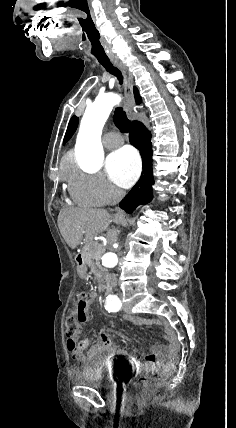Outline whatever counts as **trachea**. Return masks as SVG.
Listing matches in <instances>:
<instances>
[{
  "label": "trachea",
  "instance_id": "trachea-1",
  "mask_svg": "<svg viewBox=\"0 0 236 428\" xmlns=\"http://www.w3.org/2000/svg\"><path fill=\"white\" fill-rule=\"evenodd\" d=\"M83 20L84 22L82 23L81 28L85 31L86 36H88L90 50L91 52H95L94 56L97 63L101 64L111 75L116 76L119 84L122 86L124 79L120 70L114 67L113 63L110 62L109 52L105 51L104 47L101 46L102 40L99 35V30L96 27L93 13H84ZM114 122L122 132H129L130 121L122 107L116 108L114 112Z\"/></svg>",
  "mask_w": 236,
  "mask_h": 428
}]
</instances>
